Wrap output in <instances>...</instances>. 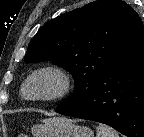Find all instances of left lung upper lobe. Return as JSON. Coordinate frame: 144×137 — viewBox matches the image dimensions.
<instances>
[{
	"label": "left lung upper lobe",
	"instance_id": "left-lung-upper-lobe-1",
	"mask_svg": "<svg viewBox=\"0 0 144 137\" xmlns=\"http://www.w3.org/2000/svg\"><path fill=\"white\" fill-rule=\"evenodd\" d=\"M144 25L121 0H98L45 23L28 46L25 61H53L74 77L75 90L61 106L84 99L102 75L127 55Z\"/></svg>",
	"mask_w": 144,
	"mask_h": 137
}]
</instances>
